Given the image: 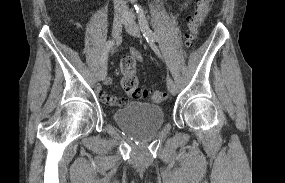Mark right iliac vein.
I'll list each match as a JSON object with an SVG mask.
<instances>
[{
  "label": "right iliac vein",
  "instance_id": "obj_1",
  "mask_svg": "<svg viewBox=\"0 0 285 183\" xmlns=\"http://www.w3.org/2000/svg\"><path fill=\"white\" fill-rule=\"evenodd\" d=\"M123 23H124V19H122V18H118L113 22L112 36L114 38H116L120 35V33L122 31ZM106 74H107V66H106V64H104L99 68V70L97 72L98 80H103L106 77Z\"/></svg>",
  "mask_w": 285,
  "mask_h": 183
}]
</instances>
